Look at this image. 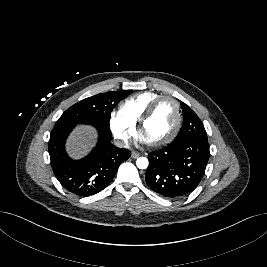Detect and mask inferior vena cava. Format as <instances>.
Returning <instances> with one entry per match:
<instances>
[{"label":"inferior vena cava","instance_id":"1","mask_svg":"<svg viewBox=\"0 0 267 267\" xmlns=\"http://www.w3.org/2000/svg\"><path fill=\"white\" fill-rule=\"evenodd\" d=\"M114 145L119 147V148H127L129 146L127 141H122V140L114 141Z\"/></svg>","mask_w":267,"mask_h":267}]
</instances>
